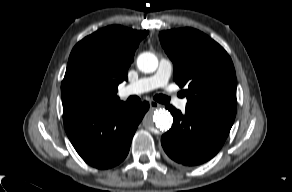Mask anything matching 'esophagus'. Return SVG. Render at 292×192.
I'll use <instances>...</instances> for the list:
<instances>
[{
	"mask_svg": "<svg viewBox=\"0 0 292 192\" xmlns=\"http://www.w3.org/2000/svg\"><path fill=\"white\" fill-rule=\"evenodd\" d=\"M149 104H150V108H151V109H156V108H158V107L161 106V105H160L158 102H156V101H150Z\"/></svg>",
	"mask_w": 292,
	"mask_h": 192,
	"instance_id": "obj_1",
	"label": "esophagus"
}]
</instances>
